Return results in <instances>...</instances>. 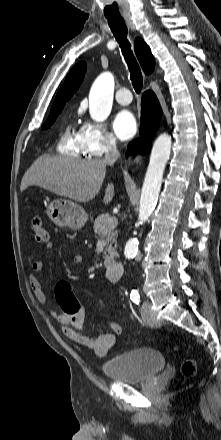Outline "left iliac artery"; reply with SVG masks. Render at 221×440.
<instances>
[{
	"instance_id": "obj_1",
	"label": "left iliac artery",
	"mask_w": 221,
	"mask_h": 440,
	"mask_svg": "<svg viewBox=\"0 0 221 440\" xmlns=\"http://www.w3.org/2000/svg\"><path fill=\"white\" fill-rule=\"evenodd\" d=\"M131 300H133L134 303L139 304V302H140V295L139 294L131 295Z\"/></svg>"
}]
</instances>
